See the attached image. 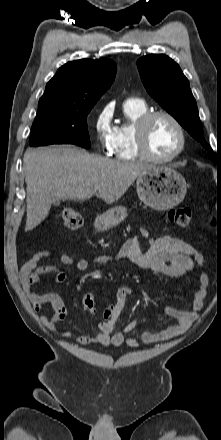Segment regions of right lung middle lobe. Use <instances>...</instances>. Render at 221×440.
Segmentation results:
<instances>
[{
    "mask_svg": "<svg viewBox=\"0 0 221 440\" xmlns=\"http://www.w3.org/2000/svg\"><path fill=\"white\" fill-rule=\"evenodd\" d=\"M94 105H73L56 101L39 102L32 125L30 146L75 144L90 148L87 115Z\"/></svg>",
    "mask_w": 221,
    "mask_h": 440,
    "instance_id": "obj_1",
    "label": "right lung middle lobe"
}]
</instances>
